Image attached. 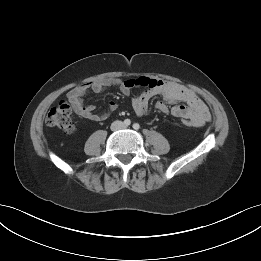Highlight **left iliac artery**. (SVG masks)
I'll return each mask as SVG.
<instances>
[{
    "instance_id": "left-iliac-artery-1",
    "label": "left iliac artery",
    "mask_w": 261,
    "mask_h": 261,
    "mask_svg": "<svg viewBox=\"0 0 261 261\" xmlns=\"http://www.w3.org/2000/svg\"><path fill=\"white\" fill-rule=\"evenodd\" d=\"M133 128H134L135 130H138V129L140 128V125H139L138 123H134V124H133Z\"/></svg>"
}]
</instances>
